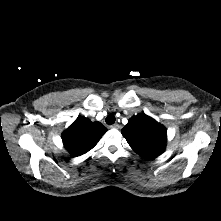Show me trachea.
<instances>
[{
  "mask_svg": "<svg viewBox=\"0 0 221 221\" xmlns=\"http://www.w3.org/2000/svg\"><path fill=\"white\" fill-rule=\"evenodd\" d=\"M115 116L113 114H110L106 117L105 121L108 125H112L115 122Z\"/></svg>",
  "mask_w": 221,
  "mask_h": 221,
  "instance_id": "3493384b",
  "label": "trachea"
}]
</instances>
